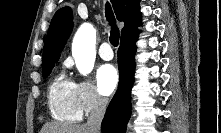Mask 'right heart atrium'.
I'll return each instance as SVG.
<instances>
[{
	"label": "right heart atrium",
	"mask_w": 221,
	"mask_h": 133,
	"mask_svg": "<svg viewBox=\"0 0 221 133\" xmlns=\"http://www.w3.org/2000/svg\"><path fill=\"white\" fill-rule=\"evenodd\" d=\"M77 98L82 113L87 115L101 111L106 100L97 92L94 85L87 80L76 83Z\"/></svg>",
	"instance_id": "d8ad5b80"
}]
</instances>
